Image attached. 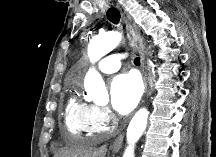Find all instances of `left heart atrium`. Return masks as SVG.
<instances>
[{"label": "left heart atrium", "instance_id": "39dd6f15", "mask_svg": "<svg viewBox=\"0 0 216 157\" xmlns=\"http://www.w3.org/2000/svg\"><path fill=\"white\" fill-rule=\"evenodd\" d=\"M141 92V83L134 74H120L110 84L111 104L119 114H128L136 107Z\"/></svg>", "mask_w": 216, "mask_h": 157}]
</instances>
